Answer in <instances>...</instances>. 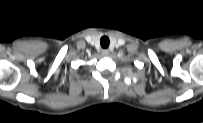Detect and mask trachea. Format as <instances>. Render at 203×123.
<instances>
[{
    "label": "trachea",
    "mask_w": 203,
    "mask_h": 123,
    "mask_svg": "<svg viewBox=\"0 0 203 123\" xmlns=\"http://www.w3.org/2000/svg\"><path fill=\"white\" fill-rule=\"evenodd\" d=\"M109 38L107 36H103L100 40V44L102 46V48H107L109 46Z\"/></svg>",
    "instance_id": "trachea-1"
}]
</instances>
